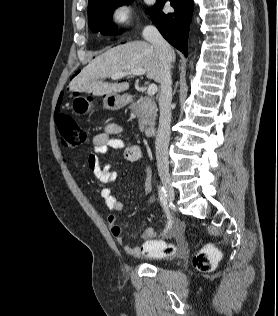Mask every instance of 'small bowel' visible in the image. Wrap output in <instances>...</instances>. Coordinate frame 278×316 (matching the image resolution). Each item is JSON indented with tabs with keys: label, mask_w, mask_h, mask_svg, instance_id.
<instances>
[{
	"label": "small bowel",
	"mask_w": 278,
	"mask_h": 316,
	"mask_svg": "<svg viewBox=\"0 0 278 316\" xmlns=\"http://www.w3.org/2000/svg\"><path fill=\"white\" fill-rule=\"evenodd\" d=\"M122 132V127L116 123H107L104 127V131L93 137V152L88 155L87 166L94 176L102 184L101 197L104 199L107 208L112 212L121 211L123 208L122 203L112 195L111 189L107 187V184L114 181L117 178V172L112 170L111 166L104 163L100 159V155L107 154L109 150H121L123 158L128 162H138L141 159V148L136 144H125V142L115 137ZM145 182L144 189L146 192H150L152 189V176L147 167H144ZM153 202V199L149 201ZM108 224L111 229V233L114 236L116 242L123 246L124 251L132 256H137L141 253V249L137 246H131L125 244V238L123 234V228L118 224L117 215L111 213L108 215ZM175 232L180 235L181 225L178 221L175 222ZM159 235V231L154 228H146L143 231V237L146 239H152Z\"/></svg>",
	"instance_id": "obj_1"
}]
</instances>
